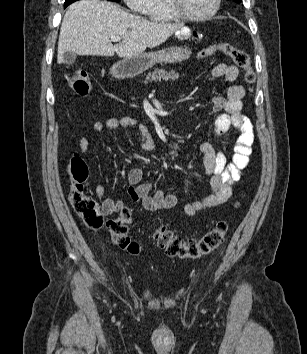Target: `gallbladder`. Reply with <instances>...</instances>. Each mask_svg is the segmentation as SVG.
<instances>
[{
	"label": "gallbladder",
	"mask_w": 307,
	"mask_h": 354,
	"mask_svg": "<svg viewBox=\"0 0 307 354\" xmlns=\"http://www.w3.org/2000/svg\"><path fill=\"white\" fill-rule=\"evenodd\" d=\"M75 60H76V54L73 52H66L63 55V63L64 64H67V65L73 64L75 62Z\"/></svg>",
	"instance_id": "obj_1"
}]
</instances>
